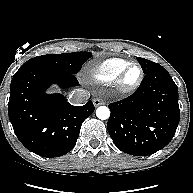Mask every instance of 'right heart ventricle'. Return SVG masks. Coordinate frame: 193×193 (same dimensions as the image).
<instances>
[{
	"mask_svg": "<svg viewBox=\"0 0 193 193\" xmlns=\"http://www.w3.org/2000/svg\"><path fill=\"white\" fill-rule=\"evenodd\" d=\"M130 61L123 58H109L103 60L90 69V77L99 83H109L116 79L118 74Z\"/></svg>",
	"mask_w": 193,
	"mask_h": 193,
	"instance_id": "e07e8e85",
	"label": "right heart ventricle"
}]
</instances>
